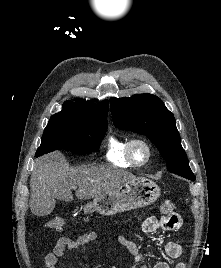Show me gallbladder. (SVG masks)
<instances>
[{
	"label": "gallbladder",
	"instance_id": "gallbladder-1",
	"mask_svg": "<svg viewBox=\"0 0 221 268\" xmlns=\"http://www.w3.org/2000/svg\"><path fill=\"white\" fill-rule=\"evenodd\" d=\"M54 207V199H33L31 210L35 217H47L48 213H53Z\"/></svg>",
	"mask_w": 221,
	"mask_h": 268
}]
</instances>
